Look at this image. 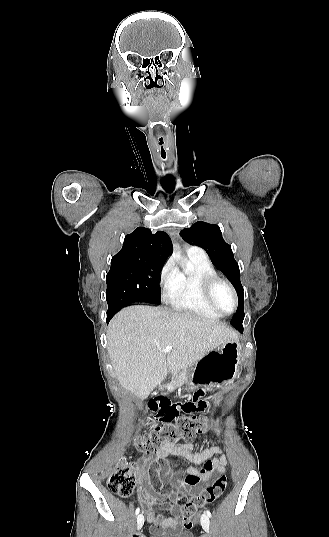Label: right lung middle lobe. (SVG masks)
Listing matches in <instances>:
<instances>
[{"mask_svg":"<svg viewBox=\"0 0 329 537\" xmlns=\"http://www.w3.org/2000/svg\"><path fill=\"white\" fill-rule=\"evenodd\" d=\"M164 263L110 269L106 276L107 314L133 302L160 304L159 276Z\"/></svg>","mask_w":329,"mask_h":537,"instance_id":"1","label":"right lung middle lobe"}]
</instances>
